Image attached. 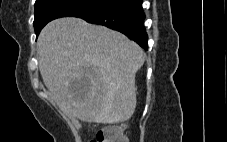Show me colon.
<instances>
[{
	"instance_id": "obj_1",
	"label": "colon",
	"mask_w": 227,
	"mask_h": 142,
	"mask_svg": "<svg viewBox=\"0 0 227 142\" xmlns=\"http://www.w3.org/2000/svg\"><path fill=\"white\" fill-rule=\"evenodd\" d=\"M91 142H127L123 125L105 127Z\"/></svg>"
}]
</instances>
